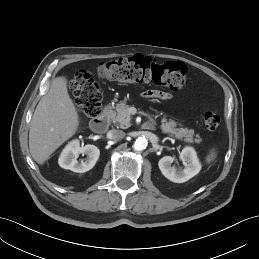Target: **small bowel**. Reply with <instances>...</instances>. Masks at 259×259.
<instances>
[{"label":"small bowel","instance_id":"obj_1","mask_svg":"<svg viewBox=\"0 0 259 259\" xmlns=\"http://www.w3.org/2000/svg\"><path fill=\"white\" fill-rule=\"evenodd\" d=\"M146 98H156V99H168L171 97V94L168 92L149 90L143 93Z\"/></svg>","mask_w":259,"mask_h":259}]
</instances>
